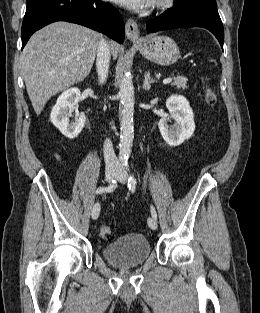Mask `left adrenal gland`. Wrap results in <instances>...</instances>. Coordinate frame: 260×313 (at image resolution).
<instances>
[{
  "mask_svg": "<svg viewBox=\"0 0 260 313\" xmlns=\"http://www.w3.org/2000/svg\"><path fill=\"white\" fill-rule=\"evenodd\" d=\"M155 82H157V80L151 79L150 72L149 71L145 72L144 80H143V89L146 91L150 90L151 84Z\"/></svg>",
  "mask_w": 260,
  "mask_h": 313,
  "instance_id": "obj_1",
  "label": "left adrenal gland"
}]
</instances>
